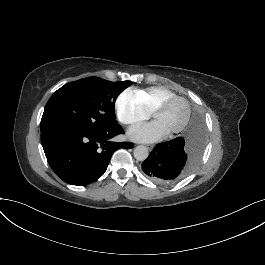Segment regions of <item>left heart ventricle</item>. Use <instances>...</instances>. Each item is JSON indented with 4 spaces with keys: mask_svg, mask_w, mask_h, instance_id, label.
<instances>
[{
    "mask_svg": "<svg viewBox=\"0 0 265 265\" xmlns=\"http://www.w3.org/2000/svg\"><path fill=\"white\" fill-rule=\"evenodd\" d=\"M183 114L184 107L182 103L172 101L156 113L154 121L158 122L168 132L182 120Z\"/></svg>",
    "mask_w": 265,
    "mask_h": 265,
    "instance_id": "b2bd125f",
    "label": "left heart ventricle"
}]
</instances>
